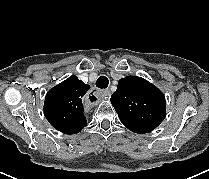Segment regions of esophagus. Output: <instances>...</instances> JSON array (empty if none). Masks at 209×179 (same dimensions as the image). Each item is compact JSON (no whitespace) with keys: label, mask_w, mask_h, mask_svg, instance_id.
<instances>
[{"label":"esophagus","mask_w":209,"mask_h":179,"mask_svg":"<svg viewBox=\"0 0 209 179\" xmlns=\"http://www.w3.org/2000/svg\"><path fill=\"white\" fill-rule=\"evenodd\" d=\"M111 92L109 89L92 91L85 96V103L88 106H95L98 103V100L110 97Z\"/></svg>","instance_id":"esophagus-1"}]
</instances>
